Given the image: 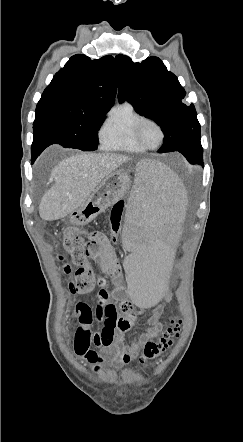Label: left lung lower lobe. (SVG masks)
Instances as JSON below:
<instances>
[{"label":"left lung lower lobe","mask_w":243,"mask_h":442,"mask_svg":"<svg viewBox=\"0 0 243 442\" xmlns=\"http://www.w3.org/2000/svg\"><path fill=\"white\" fill-rule=\"evenodd\" d=\"M182 154L190 163H201L203 164V148L200 144L193 146L192 148L183 151Z\"/></svg>","instance_id":"left-lung-lower-lobe-1"}]
</instances>
